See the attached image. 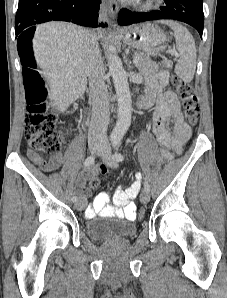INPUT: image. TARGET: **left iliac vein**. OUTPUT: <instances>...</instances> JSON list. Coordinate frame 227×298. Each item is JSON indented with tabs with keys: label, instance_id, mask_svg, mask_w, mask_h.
Instances as JSON below:
<instances>
[{
	"label": "left iliac vein",
	"instance_id": "obj_1",
	"mask_svg": "<svg viewBox=\"0 0 227 298\" xmlns=\"http://www.w3.org/2000/svg\"><path fill=\"white\" fill-rule=\"evenodd\" d=\"M98 156L111 168H115L117 166L116 161L112 158L110 148L107 144H103L97 152ZM150 200L149 192L143 190L140 194V201L143 204H147Z\"/></svg>",
	"mask_w": 227,
	"mask_h": 298
}]
</instances>
